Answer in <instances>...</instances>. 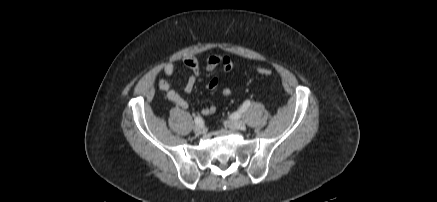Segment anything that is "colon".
<instances>
[{"instance_id":"obj_1","label":"colon","mask_w":437,"mask_h":202,"mask_svg":"<svg viewBox=\"0 0 437 202\" xmlns=\"http://www.w3.org/2000/svg\"><path fill=\"white\" fill-rule=\"evenodd\" d=\"M257 73H258L259 75H261V76H264V77H268V76H271V75H272V71H271V69H269V68H263V67L258 68V69H257Z\"/></svg>"}]
</instances>
